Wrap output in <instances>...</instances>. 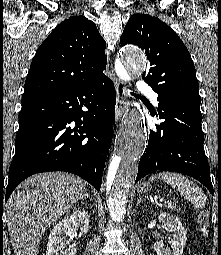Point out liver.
Returning a JSON list of instances; mask_svg holds the SVG:
<instances>
[{"label": "liver", "instance_id": "1", "mask_svg": "<svg viewBox=\"0 0 221 255\" xmlns=\"http://www.w3.org/2000/svg\"><path fill=\"white\" fill-rule=\"evenodd\" d=\"M86 182L65 172L35 174L24 180L5 205L15 255H37L45 231L83 196Z\"/></svg>", "mask_w": 221, "mask_h": 255}]
</instances>
